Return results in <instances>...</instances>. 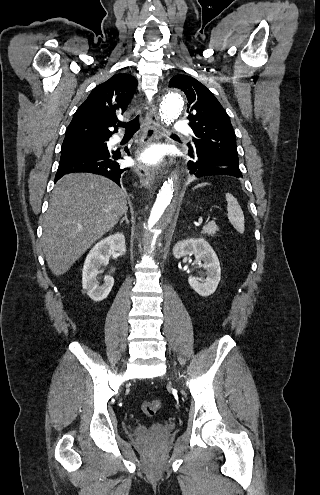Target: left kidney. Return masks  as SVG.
<instances>
[{
  "label": "left kidney",
  "instance_id": "obj_1",
  "mask_svg": "<svg viewBox=\"0 0 320 495\" xmlns=\"http://www.w3.org/2000/svg\"><path fill=\"white\" fill-rule=\"evenodd\" d=\"M190 254H194L196 263L207 271V278L200 282L199 278L189 276L188 283L199 295L210 296L217 289L221 279L218 257L212 247L202 238L180 241L173 248V255L176 259Z\"/></svg>",
  "mask_w": 320,
  "mask_h": 495
}]
</instances>
